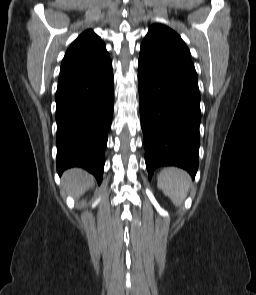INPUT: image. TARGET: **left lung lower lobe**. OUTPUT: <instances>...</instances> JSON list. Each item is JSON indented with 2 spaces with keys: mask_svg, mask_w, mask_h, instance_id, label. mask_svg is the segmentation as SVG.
<instances>
[{
  "mask_svg": "<svg viewBox=\"0 0 256 295\" xmlns=\"http://www.w3.org/2000/svg\"><path fill=\"white\" fill-rule=\"evenodd\" d=\"M139 108L149 180L159 166L198 170L200 93L138 64Z\"/></svg>",
  "mask_w": 256,
  "mask_h": 295,
  "instance_id": "obj_1",
  "label": "left lung lower lobe"
}]
</instances>
